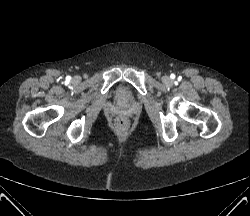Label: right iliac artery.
Returning a JSON list of instances; mask_svg holds the SVG:
<instances>
[{"label": "right iliac artery", "instance_id": "82829eb1", "mask_svg": "<svg viewBox=\"0 0 250 216\" xmlns=\"http://www.w3.org/2000/svg\"><path fill=\"white\" fill-rule=\"evenodd\" d=\"M71 78L70 77H67V80L69 81Z\"/></svg>", "mask_w": 250, "mask_h": 216}]
</instances>
